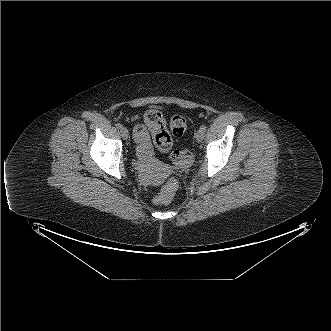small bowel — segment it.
Wrapping results in <instances>:
<instances>
[{"instance_id": "c3829d8e", "label": "small bowel", "mask_w": 331, "mask_h": 331, "mask_svg": "<svg viewBox=\"0 0 331 331\" xmlns=\"http://www.w3.org/2000/svg\"><path fill=\"white\" fill-rule=\"evenodd\" d=\"M140 117L139 116H133L131 118L132 121H136L138 120ZM134 139L138 145V156L142 159V160H147L152 156V146L151 143L149 141V135H147L146 139L142 140L135 132H134Z\"/></svg>"}]
</instances>
